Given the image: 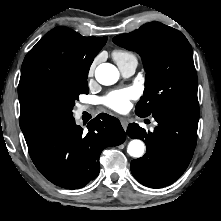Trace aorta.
Listing matches in <instances>:
<instances>
[{"mask_svg":"<svg viewBox=\"0 0 221 221\" xmlns=\"http://www.w3.org/2000/svg\"><path fill=\"white\" fill-rule=\"evenodd\" d=\"M96 80L102 85H113L119 79L118 69L110 63H102L97 66L95 71ZM145 145L139 139L132 140L127 148L130 156L139 158L144 154Z\"/></svg>","mask_w":221,"mask_h":221,"instance_id":"1","label":"aorta"}]
</instances>
